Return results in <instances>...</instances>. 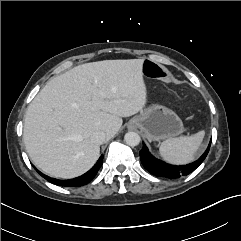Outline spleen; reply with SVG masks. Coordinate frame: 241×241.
I'll list each match as a JSON object with an SVG mask.
<instances>
[{
    "label": "spleen",
    "instance_id": "spleen-1",
    "mask_svg": "<svg viewBox=\"0 0 241 241\" xmlns=\"http://www.w3.org/2000/svg\"><path fill=\"white\" fill-rule=\"evenodd\" d=\"M205 132L199 131L191 136L169 138L160 144V155L169 163L182 165L194 160Z\"/></svg>",
    "mask_w": 241,
    "mask_h": 241
}]
</instances>
